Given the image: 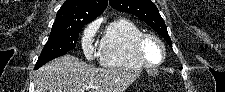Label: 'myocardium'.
I'll return each instance as SVG.
<instances>
[{
    "instance_id": "myocardium-1",
    "label": "myocardium",
    "mask_w": 225,
    "mask_h": 92,
    "mask_svg": "<svg viewBox=\"0 0 225 92\" xmlns=\"http://www.w3.org/2000/svg\"><path fill=\"white\" fill-rule=\"evenodd\" d=\"M151 40L154 41L161 50V58L158 62H150L146 59L144 52H143V47L146 41ZM133 48H134V52L138 58V60L140 61V63L143 66L149 67V68H157L160 65L163 64L164 60H165V55H166V49L165 46L163 44V42L155 35L150 34V33H142L140 34L134 41L133 44Z\"/></svg>"
}]
</instances>
